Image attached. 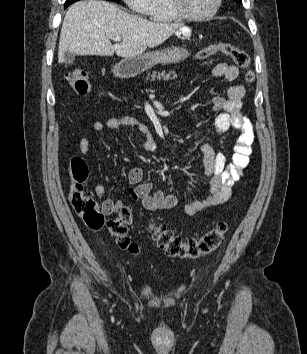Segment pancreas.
<instances>
[{
	"label": "pancreas",
	"mask_w": 307,
	"mask_h": 354,
	"mask_svg": "<svg viewBox=\"0 0 307 354\" xmlns=\"http://www.w3.org/2000/svg\"><path fill=\"white\" fill-rule=\"evenodd\" d=\"M161 78L165 81H168L169 79L177 78V74H175L174 71H171L169 73H166L165 71H161V72L154 71L151 75L152 80H156V79L160 80ZM147 79H149V77Z\"/></svg>",
	"instance_id": "cf45deb5"
}]
</instances>
